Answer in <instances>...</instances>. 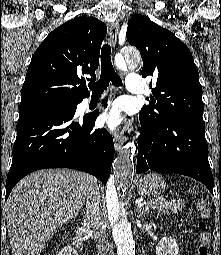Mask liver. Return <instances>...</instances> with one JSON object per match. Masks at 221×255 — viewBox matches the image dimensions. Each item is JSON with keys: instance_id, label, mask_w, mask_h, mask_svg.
Instances as JSON below:
<instances>
[{"instance_id": "obj_1", "label": "liver", "mask_w": 221, "mask_h": 255, "mask_svg": "<svg viewBox=\"0 0 221 255\" xmlns=\"http://www.w3.org/2000/svg\"><path fill=\"white\" fill-rule=\"evenodd\" d=\"M95 184L90 174L68 169L39 170L18 182L4 208L13 255H40Z\"/></svg>"}]
</instances>
